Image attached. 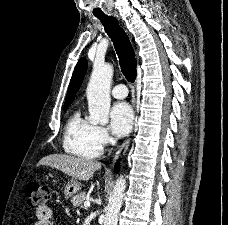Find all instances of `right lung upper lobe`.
<instances>
[{"label":"right lung upper lobe","mask_w":228,"mask_h":225,"mask_svg":"<svg viewBox=\"0 0 228 225\" xmlns=\"http://www.w3.org/2000/svg\"><path fill=\"white\" fill-rule=\"evenodd\" d=\"M86 70H87V62H86L85 57H82L78 61L77 65L75 67V70H74V73H73V76H72V79H71V82H70V85L68 88L67 97L65 100V106L70 105L72 103L75 93L78 91V89L82 83Z\"/></svg>","instance_id":"right-lung-upper-lobe-1"}]
</instances>
